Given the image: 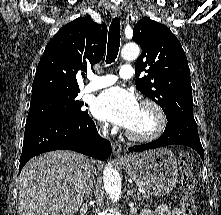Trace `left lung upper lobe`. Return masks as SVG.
I'll return each mask as SVG.
<instances>
[{"instance_id":"obj_1","label":"left lung upper lobe","mask_w":221,"mask_h":215,"mask_svg":"<svg viewBox=\"0 0 221 215\" xmlns=\"http://www.w3.org/2000/svg\"><path fill=\"white\" fill-rule=\"evenodd\" d=\"M132 39L142 48L135 63L137 89L163 109L168 121L194 119L190 69L176 36L165 25L143 18ZM141 72L147 75L139 78Z\"/></svg>"}]
</instances>
